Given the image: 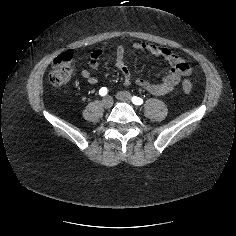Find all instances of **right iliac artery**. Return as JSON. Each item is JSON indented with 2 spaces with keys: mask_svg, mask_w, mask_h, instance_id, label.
I'll use <instances>...</instances> for the list:
<instances>
[{
  "mask_svg": "<svg viewBox=\"0 0 236 236\" xmlns=\"http://www.w3.org/2000/svg\"><path fill=\"white\" fill-rule=\"evenodd\" d=\"M108 90L106 87H102L100 90H99V94L101 96H105L107 94Z\"/></svg>",
  "mask_w": 236,
  "mask_h": 236,
  "instance_id": "obj_1",
  "label": "right iliac artery"
}]
</instances>
